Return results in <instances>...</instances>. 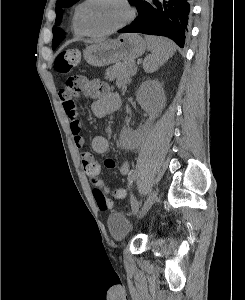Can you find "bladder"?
<instances>
[{
  "mask_svg": "<svg viewBox=\"0 0 245 300\" xmlns=\"http://www.w3.org/2000/svg\"><path fill=\"white\" fill-rule=\"evenodd\" d=\"M107 227L110 235L115 240H123L134 231V224L122 213H112L107 219Z\"/></svg>",
  "mask_w": 245,
  "mask_h": 300,
  "instance_id": "31cf9c89",
  "label": "bladder"
}]
</instances>
